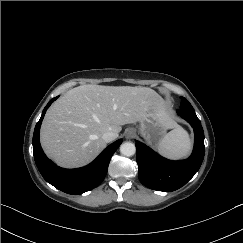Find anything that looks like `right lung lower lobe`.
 Listing matches in <instances>:
<instances>
[{
	"instance_id": "obj_1",
	"label": "right lung lower lobe",
	"mask_w": 243,
	"mask_h": 243,
	"mask_svg": "<svg viewBox=\"0 0 243 243\" xmlns=\"http://www.w3.org/2000/svg\"><path fill=\"white\" fill-rule=\"evenodd\" d=\"M58 97L49 101L44 108L40 120L37 122L33 134V152L36 165L44 179L57 189L68 194H82L92 190L104 180L110 159L122 143V139L109 145L91 164L78 169H63L52 163L44 154L40 142L39 132L42 120L49 106Z\"/></svg>"
}]
</instances>
